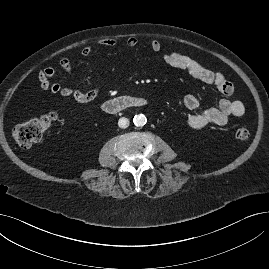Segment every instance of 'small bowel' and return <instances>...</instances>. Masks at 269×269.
Returning a JSON list of instances; mask_svg holds the SVG:
<instances>
[{
	"mask_svg": "<svg viewBox=\"0 0 269 269\" xmlns=\"http://www.w3.org/2000/svg\"><path fill=\"white\" fill-rule=\"evenodd\" d=\"M100 44L106 47H114L117 45V41L109 38L102 40ZM137 44L138 40L134 37L126 40V46L129 48H134ZM149 47L154 52H160L163 48L161 42L158 40H152L149 43ZM92 50L93 47L87 45L82 49L81 54L84 57H89L92 54ZM162 59L166 65L183 70L196 80L214 85L226 96H230L234 92L233 84L222 73L202 66L196 60L182 52H164ZM60 66L66 74H72L73 67L69 58H61ZM54 75L55 69L52 66H48L38 73V81L42 90L59 94L65 98H72L79 103H89L95 100L101 92V88L98 86L88 91L61 86L53 80ZM183 105L188 110H194L199 106V100L194 94H188L183 98ZM245 111L246 108L242 101L223 98L218 102L216 107L206 109L188 117L187 125L193 129H200L210 124L224 126L229 122L231 117L243 116Z\"/></svg>",
	"mask_w": 269,
	"mask_h": 269,
	"instance_id": "c3829d8e",
	"label": "small bowel"
}]
</instances>
